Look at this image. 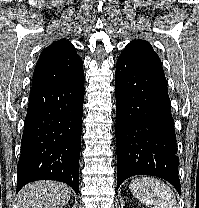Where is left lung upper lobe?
<instances>
[{"mask_svg": "<svg viewBox=\"0 0 199 208\" xmlns=\"http://www.w3.org/2000/svg\"><path fill=\"white\" fill-rule=\"evenodd\" d=\"M120 57L129 58L142 67L165 76L160 58L153 51L152 46L145 40L138 39L130 42Z\"/></svg>", "mask_w": 199, "mask_h": 208, "instance_id": "1", "label": "left lung upper lobe"}]
</instances>
